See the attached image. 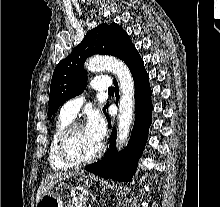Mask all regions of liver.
Wrapping results in <instances>:
<instances>
[{
	"instance_id": "6515ba94",
	"label": "liver",
	"mask_w": 220,
	"mask_h": 207,
	"mask_svg": "<svg viewBox=\"0 0 220 207\" xmlns=\"http://www.w3.org/2000/svg\"><path fill=\"white\" fill-rule=\"evenodd\" d=\"M82 172H58L55 174H51L46 176V178L42 181L37 195H36V202L38 203L40 201V199L42 198V196H44L45 194H47L52 187L57 184L58 182H60L61 180H65L67 178L73 177V176H78L81 175Z\"/></svg>"
}]
</instances>
